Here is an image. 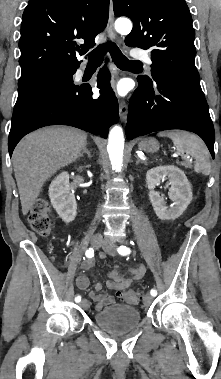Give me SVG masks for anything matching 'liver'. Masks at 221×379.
Masks as SVG:
<instances>
[{"instance_id":"6515ba94","label":"liver","mask_w":221,"mask_h":379,"mask_svg":"<svg viewBox=\"0 0 221 379\" xmlns=\"http://www.w3.org/2000/svg\"><path fill=\"white\" fill-rule=\"evenodd\" d=\"M86 144L85 132L61 126L42 128L19 142L12 160L23 215L33 208L44 183L74 162Z\"/></svg>"}]
</instances>
